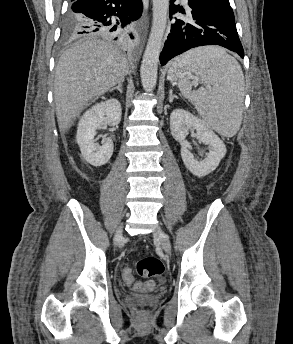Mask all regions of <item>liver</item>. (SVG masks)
<instances>
[{
    "instance_id": "1",
    "label": "liver",
    "mask_w": 293,
    "mask_h": 344,
    "mask_svg": "<svg viewBox=\"0 0 293 344\" xmlns=\"http://www.w3.org/2000/svg\"><path fill=\"white\" fill-rule=\"evenodd\" d=\"M126 56L103 40L75 43L60 57L55 73L54 98L61 132L68 130L89 102L124 81Z\"/></svg>"
}]
</instances>
